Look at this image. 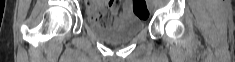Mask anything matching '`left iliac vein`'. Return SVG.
I'll list each match as a JSON object with an SVG mask.
<instances>
[{"label":"left iliac vein","mask_w":235,"mask_h":62,"mask_svg":"<svg viewBox=\"0 0 235 62\" xmlns=\"http://www.w3.org/2000/svg\"><path fill=\"white\" fill-rule=\"evenodd\" d=\"M149 8H150V9H153V8H154L153 2H149Z\"/></svg>","instance_id":"4c4485c4"}]
</instances>
